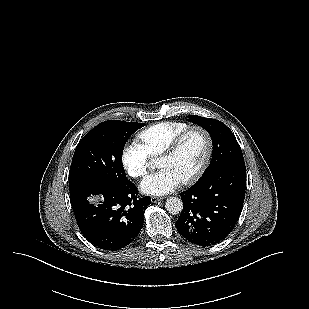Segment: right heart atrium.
I'll return each instance as SVG.
<instances>
[{
    "label": "right heart atrium",
    "instance_id": "obj_1",
    "mask_svg": "<svg viewBox=\"0 0 309 309\" xmlns=\"http://www.w3.org/2000/svg\"><path fill=\"white\" fill-rule=\"evenodd\" d=\"M150 155L137 142L128 143L122 152V162L127 173L134 178L145 177L150 168Z\"/></svg>",
    "mask_w": 309,
    "mask_h": 309
}]
</instances>
